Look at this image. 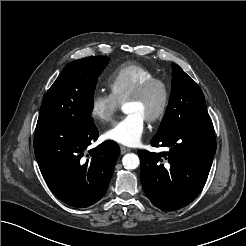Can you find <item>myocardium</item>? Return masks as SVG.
<instances>
[{"label":"myocardium","instance_id":"myocardium-1","mask_svg":"<svg viewBox=\"0 0 246 246\" xmlns=\"http://www.w3.org/2000/svg\"><path fill=\"white\" fill-rule=\"evenodd\" d=\"M156 86L159 87L162 91V100H161L160 106L157 109V111L146 118V121L149 123H155V122L160 121L167 112L169 102H170V88L165 80L158 78V77H153L145 81L144 83H142L125 100V102L142 100Z\"/></svg>","mask_w":246,"mask_h":246}]
</instances>
